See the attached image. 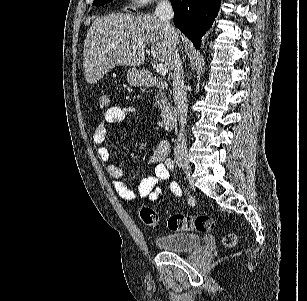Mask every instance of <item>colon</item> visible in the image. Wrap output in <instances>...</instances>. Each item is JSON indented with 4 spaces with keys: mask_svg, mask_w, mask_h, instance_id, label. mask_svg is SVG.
<instances>
[{
    "mask_svg": "<svg viewBox=\"0 0 307 301\" xmlns=\"http://www.w3.org/2000/svg\"><path fill=\"white\" fill-rule=\"evenodd\" d=\"M110 98L102 92L97 100V112L104 113L109 109ZM140 218L142 222L151 228H156L160 224V216L158 212L151 207H143L140 210ZM167 225L172 231H197L208 232L214 227V223L211 217L203 214L198 215H186L182 213H174L169 216ZM237 242L234 234H228L223 239V244L231 248L235 246Z\"/></svg>",
    "mask_w": 307,
    "mask_h": 301,
    "instance_id": "obj_1",
    "label": "colon"
}]
</instances>
